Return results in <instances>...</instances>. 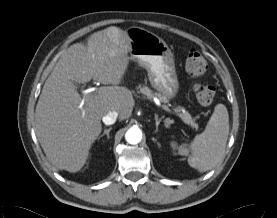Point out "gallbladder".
<instances>
[{"mask_svg": "<svg viewBox=\"0 0 277 218\" xmlns=\"http://www.w3.org/2000/svg\"><path fill=\"white\" fill-rule=\"evenodd\" d=\"M74 84L77 86L78 85V83H76V82H74Z\"/></svg>", "mask_w": 277, "mask_h": 218, "instance_id": "bac80fb5", "label": "gallbladder"}]
</instances>
